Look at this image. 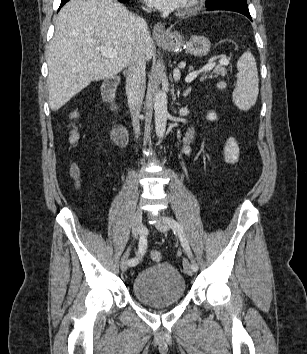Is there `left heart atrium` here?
<instances>
[{
	"label": "left heart atrium",
	"mask_w": 307,
	"mask_h": 354,
	"mask_svg": "<svg viewBox=\"0 0 307 354\" xmlns=\"http://www.w3.org/2000/svg\"><path fill=\"white\" fill-rule=\"evenodd\" d=\"M149 5L162 10L173 11L180 8L185 0H145Z\"/></svg>",
	"instance_id": "obj_1"
}]
</instances>
